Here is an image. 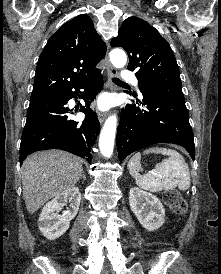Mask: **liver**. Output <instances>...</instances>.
I'll use <instances>...</instances> for the list:
<instances>
[{
  "instance_id": "liver-1",
  "label": "liver",
  "mask_w": 221,
  "mask_h": 274,
  "mask_svg": "<svg viewBox=\"0 0 221 274\" xmlns=\"http://www.w3.org/2000/svg\"><path fill=\"white\" fill-rule=\"evenodd\" d=\"M83 173L82 160L60 150L37 152L22 165L23 198L30 214L48 200L75 186Z\"/></svg>"
}]
</instances>
